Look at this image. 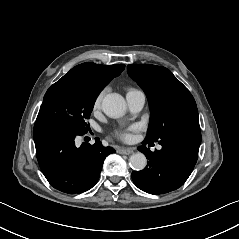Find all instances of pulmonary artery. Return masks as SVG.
Wrapping results in <instances>:
<instances>
[{"label":"pulmonary artery","instance_id":"pulmonary-artery-1","mask_svg":"<svg viewBox=\"0 0 239 239\" xmlns=\"http://www.w3.org/2000/svg\"><path fill=\"white\" fill-rule=\"evenodd\" d=\"M126 100L129 108L133 112H138L143 108L146 96L142 90L131 88L126 93ZM160 148L161 146L159 145L158 149Z\"/></svg>","mask_w":239,"mask_h":239}]
</instances>
